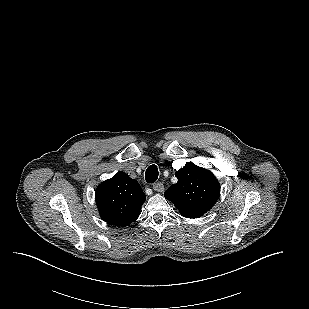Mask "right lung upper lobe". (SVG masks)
Here are the masks:
<instances>
[{"label":"right lung upper lobe","instance_id":"cb5924a9","mask_svg":"<svg viewBox=\"0 0 309 309\" xmlns=\"http://www.w3.org/2000/svg\"><path fill=\"white\" fill-rule=\"evenodd\" d=\"M145 194L139 183L124 172L104 181L96 190L101 218L114 226H128L139 214Z\"/></svg>","mask_w":309,"mask_h":309}]
</instances>
